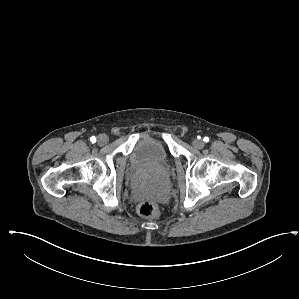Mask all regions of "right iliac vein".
Listing matches in <instances>:
<instances>
[{"instance_id":"63e3f726","label":"right iliac vein","mask_w":299,"mask_h":299,"mask_svg":"<svg viewBox=\"0 0 299 299\" xmlns=\"http://www.w3.org/2000/svg\"><path fill=\"white\" fill-rule=\"evenodd\" d=\"M108 142V136L105 135V134H100L98 137H97V143L99 145H105L107 144Z\"/></svg>"}]
</instances>
